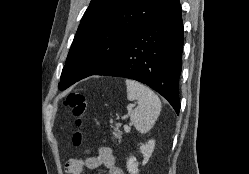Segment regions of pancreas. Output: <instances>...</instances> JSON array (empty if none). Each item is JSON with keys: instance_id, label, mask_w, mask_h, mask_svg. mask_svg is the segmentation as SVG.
I'll use <instances>...</instances> for the list:
<instances>
[{"instance_id": "1", "label": "pancreas", "mask_w": 249, "mask_h": 174, "mask_svg": "<svg viewBox=\"0 0 249 174\" xmlns=\"http://www.w3.org/2000/svg\"><path fill=\"white\" fill-rule=\"evenodd\" d=\"M119 127H120L119 124H117L116 127H114V136H115L117 139L121 140L122 132L119 130Z\"/></svg>"}]
</instances>
